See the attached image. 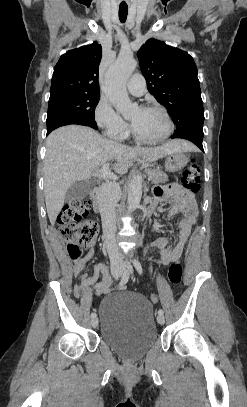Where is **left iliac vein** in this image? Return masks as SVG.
I'll use <instances>...</instances> for the list:
<instances>
[{"instance_id": "left-iliac-vein-1", "label": "left iliac vein", "mask_w": 247, "mask_h": 407, "mask_svg": "<svg viewBox=\"0 0 247 407\" xmlns=\"http://www.w3.org/2000/svg\"><path fill=\"white\" fill-rule=\"evenodd\" d=\"M123 268H124L125 270H128L130 273L133 272V267H132V265H131L129 262H125V263L123 264ZM157 321H158V323L161 324V325L164 324V322H165L164 316L159 314V315L157 316Z\"/></svg>"}]
</instances>
